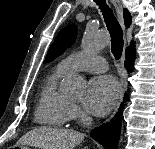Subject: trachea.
Segmentation results:
<instances>
[{"label":"trachea","instance_id":"3493384b","mask_svg":"<svg viewBox=\"0 0 155 149\" xmlns=\"http://www.w3.org/2000/svg\"><path fill=\"white\" fill-rule=\"evenodd\" d=\"M102 10L106 26L111 36L112 53L116 59H119L123 50V32L113 11L108 7L105 0H95Z\"/></svg>","mask_w":155,"mask_h":149}]
</instances>
